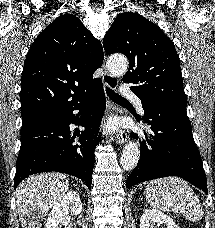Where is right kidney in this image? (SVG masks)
Here are the masks:
<instances>
[{"instance_id":"1","label":"right kidney","mask_w":215,"mask_h":228,"mask_svg":"<svg viewBox=\"0 0 215 228\" xmlns=\"http://www.w3.org/2000/svg\"><path fill=\"white\" fill-rule=\"evenodd\" d=\"M82 212V202L79 194L70 190L62 198L56 200L46 222L45 228H63L68 226L69 218L67 214L78 216Z\"/></svg>"}]
</instances>
